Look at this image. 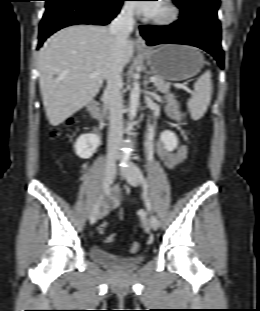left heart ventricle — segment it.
<instances>
[{
  "label": "left heart ventricle",
  "mask_w": 260,
  "mask_h": 311,
  "mask_svg": "<svg viewBox=\"0 0 260 311\" xmlns=\"http://www.w3.org/2000/svg\"><path fill=\"white\" fill-rule=\"evenodd\" d=\"M164 14H166V8H165V5L162 2H160L157 8V11L155 12L153 16L157 17V16H162Z\"/></svg>",
  "instance_id": "b2bd125f"
}]
</instances>
